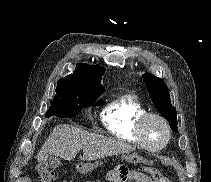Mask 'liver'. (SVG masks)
Masks as SVG:
<instances>
[{
  "instance_id": "6515ba94",
  "label": "liver",
  "mask_w": 211,
  "mask_h": 182,
  "mask_svg": "<svg viewBox=\"0 0 211 182\" xmlns=\"http://www.w3.org/2000/svg\"><path fill=\"white\" fill-rule=\"evenodd\" d=\"M83 150V160L92 161L107 156L129 153L131 145L102 135L89 133L76 126L60 124L54 127L37 155L45 160L50 155L73 160Z\"/></svg>"
}]
</instances>
